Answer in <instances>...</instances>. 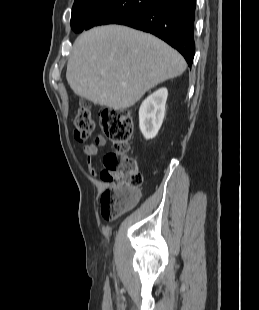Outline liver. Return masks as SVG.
<instances>
[{"label": "liver", "mask_w": 259, "mask_h": 310, "mask_svg": "<svg viewBox=\"0 0 259 310\" xmlns=\"http://www.w3.org/2000/svg\"><path fill=\"white\" fill-rule=\"evenodd\" d=\"M185 70L184 58L157 37L108 25L78 36L66 78L79 97L122 110L133 106L152 87Z\"/></svg>", "instance_id": "obj_1"}]
</instances>
